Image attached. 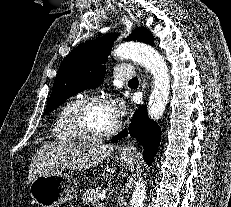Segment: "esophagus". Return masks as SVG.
Instances as JSON below:
<instances>
[{
    "mask_svg": "<svg viewBox=\"0 0 231 207\" xmlns=\"http://www.w3.org/2000/svg\"><path fill=\"white\" fill-rule=\"evenodd\" d=\"M120 150L123 153H134L136 152V147L134 146L132 141L128 140L124 145L120 147Z\"/></svg>",
    "mask_w": 231,
    "mask_h": 207,
    "instance_id": "esophagus-1",
    "label": "esophagus"
}]
</instances>
